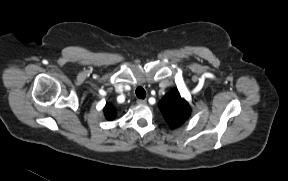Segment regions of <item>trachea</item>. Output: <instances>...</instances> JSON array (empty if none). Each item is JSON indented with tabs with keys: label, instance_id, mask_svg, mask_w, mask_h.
Listing matches in <instances>:
<instances>
[{
	"label": "trachea",
	"instance_id": "obj_1",
	"mask_svg": "<svg viewBox=\"0 0 288 181\" xmlns=\"http://www.w3.org/2000/svg\"><path fill=\"white\" fill-rule=\"evenodd\" d=\"M136 96L139 99H144L146 97V92L143 87L139 86L136 88Z\"/></svg>",
	"mask_w": 288,
	"mask_h": 181
}]
</instances>
